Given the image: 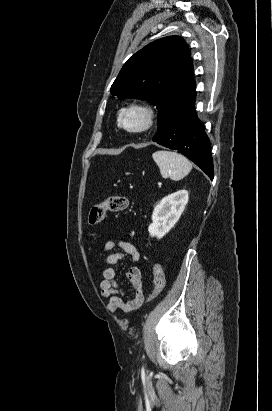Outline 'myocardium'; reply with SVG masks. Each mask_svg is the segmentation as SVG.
I'll return each mask as SVG.
<instances>
[{
  "label": "myocardium",
  "mask_w": 272,
  "mask_h": 411,
  "mask_svg": "<svg viewBox=\"0 0 272 411\" xmlns=\"http://www.w3.org/2000/svg\"><path fill=\"white\" fill-rule=\"evenodd\" d=\"M131 112L139 113L142 122L136 127H131L126 123V116ZM156 123V114L152 107L145 104H131L121 110L118 116L119 126L128 133L140 134L149 131Z\"/></svg>",
  "instance_id": "1"
}]
</instances>
